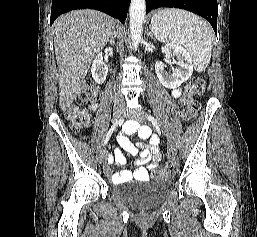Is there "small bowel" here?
Instances as JSON below:
<instances>
[{"label":"small bowel","mask_w":257,"mask_h":237,"mask_svg":"<svg viewBox=\"0 0 257 237\" xmlns=\"http://www.w3.org/2000/svg\"><path fill=\"white\" fill-rule=\"evenodd\" d=\"M181 91L175 90L173 92L174 97H179ZM123 132L125 135L137 133L141 139H149L150 145L145 146L143 143L139 142L135 145L129 143L125 135L120 136L118 141L121 145V148L114 150L112 156L109 158V162H115L116 164H123L125 162L124 152H130L131 154H139V158L136 161V164L139 167L135 170H123L112 174V179L114 183H123L133 177L140 181L149 180V169L155 167L157 161L160 157V150L158 148V138L151 135V131L148 127L141 126L134 121H128L123 126ZM149 163V167L145 168L143 165Z\"/></svg>","instance_id":"obj_1"}]
</instances>
